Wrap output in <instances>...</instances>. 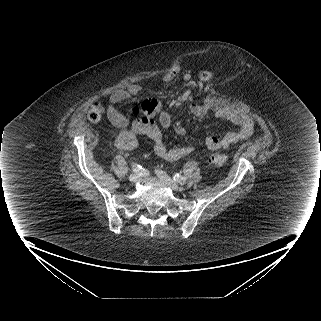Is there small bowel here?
Listing matches in <instances>:
<instances>
[{
  "label": "small bowel",
  "instance_id": "1",
  "mask_svg": "<svg viewBox=\"0 0 321 321\" xmlns=\"http://www.w3.org/2000/svg\"><path fill=\"white\" fill-rule=\"evenodd\" d=\"M136 93L137 88L132 87L129 90L114 93L108 100V117L111 123L115 127L123 129L116 140L117 148L123 151L133 150L138 145V136L145 135L153 141L155 155L164 161L173 162L191 154L193 151L192 147L167 148L164 144L155 118L160 126L167 128L171 125V116L158 99L150 98L143 102L142 110L145 117L141 121L127 127L128 121L121 113L119 103L131 98ZM211 109L212 105L210 103L193 104L189 107V112L195 117L201 118L207 115ZM215 116L218 119L237 125L239 130L228 132L223 136L210 135L206 137L205 144L210 150L228 148L241 140L248 139L254 133L255 126L253 120L240 110L218 108L215 110ZM174 130L179 136H184L186 133L182 125H176Z\"/></svg>",
  "mask_w": 321,
  "mask_h": 321
}]
</instances>
